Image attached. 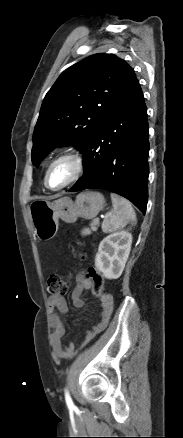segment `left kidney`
Here are the masks:
<instances>
[{"mask_svg":"<svg viewBox=\"0 0 183 438\" xmlns=\"http://www.w3.org/2000/svg\"><path fill=\"white\" fill-rule=\"evenodd\" d=\"M131 244L132 235L125 230L112 233L100 242L95 265L105 278L117 279L121 276Z\"/></svg>","mask_w":183,"mask_h":438,"instance_id":"5707ae66","label":"left kidney"}]
</instances>
